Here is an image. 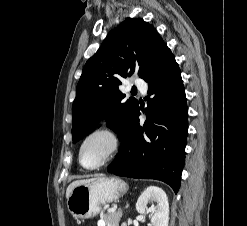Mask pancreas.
Here are the masks:
<instances>
[{"label":"pancreas","mask_w":247,"mask_h":226,"mask_svg":"<svg viewBox=\"0 0 247 226\" xmlns=\"http://www.w3.org/2000/svg\"><path fill=\"white\" fill-rule=\"evenodd\" d=\"M119 221V213H110L108 214L106 218V223L111 224L113 222H118Z\"/></svg>","instance_id":"obj_1"}]
</instances>
